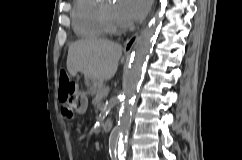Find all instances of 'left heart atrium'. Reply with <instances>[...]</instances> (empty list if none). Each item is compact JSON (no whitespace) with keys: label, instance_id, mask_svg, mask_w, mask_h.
Returning <instances> with one entry per match:
<instances>
[{"label":"left heart atrium","instance_id":"1","mask_svg":"<svg viewBox=\"0 0 242 160\" xmlns=\"http://www.w3.org/2000/svg\"><path fill=\"white\" fill-rule=\"evenodd\" d=\"M150 0H119L116 14L123 25H130L141 20L147 13Z\"/></svg>","mask_w":242,"mask_h":160}]
</instances>
